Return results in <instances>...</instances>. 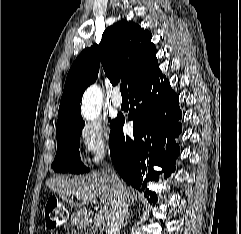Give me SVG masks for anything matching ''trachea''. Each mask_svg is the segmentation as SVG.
<instances>
[{"instance_id": "1", "label": "trachea", "mask_w": 241, "mask_h": 234, "mask_svg": "<svg viewBox=\"0 0 241 234\" xmlns=\"http://www.w3.org/2000/svg\"><path fill=\"white\" fill-rule=\"evenodd\" d=\"M120 91L122 96H127V84H121L120 85Z\"/></svg>"}]
</instances>
